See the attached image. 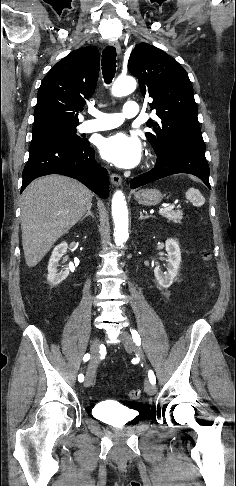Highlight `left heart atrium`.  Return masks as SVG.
<instances>
[{
	"mask_svg": "<svg viewBox=\"0 0 236 486\" xmlns=\"http://www.w3.org/2000/svg\"><path fill=\"white\" fill-rule=\"evenodd\" d=\"M101 156L120 168H133L141 160L142 145L139 139L123 132L114 133L101 139Z\"/></svg>",
	"mask_w": 236,
	"mask_h": 486,
	"instance_id": "obj_1",
	"label": "left heart atrium"
}]
</instances>
